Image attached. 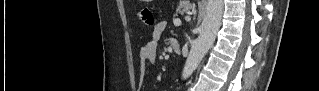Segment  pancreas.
<instances>
[{"label": "pancreas", "mask_w": 319, "mask_h": 91, "mask_svg": "<svg viewBox=\"0 0 319 91\" xmlns=\"http://www.w3.org/2000/svg\"><path fill=\"white\" fill-rule=\"evenodd\" d=\"M190 9V6L189 5H179L177 7V13H185L187 12L188 10Z\"/></svg>", "instance_id": "1"}]
</instances>
